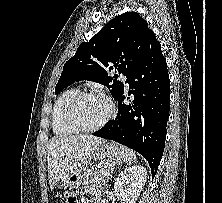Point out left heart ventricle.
I'll return each mask as SVG.
<instances>
[{
	"instance_id": "obj_1",
	"label": "left heart ventricle",
	"mask_w": 222,
	"mask_h": 203,
	"mask_svg": "<svg viewBox=\"0 0 222 203\" xmlns=\"http://www.w3.org/2000/svg\"><path fill=\"white\" fill-rule=\"evenodd\" d=\"M108 112L107 102L99 97H86L76 108V116L85 126L96 125L107 116Z\"/></svg>"
}]
</instances>
